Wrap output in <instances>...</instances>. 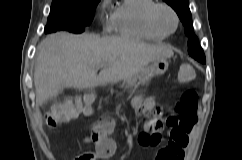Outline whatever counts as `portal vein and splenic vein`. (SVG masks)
Wrapping results in <instances>:
<instances>
[{"label": "portal vein and splenic vein", "instance_id": "1", "mask_svg": "<svg viewBox=\"0 0 242 160\" xmlns=\"http://www.w3.org/2000/svg\"><path fill=\"white\" fill-rule=\"evenodd\" d=\"M106 65L105 64H101V65H98L97 68L99 67H105Z\"/></svg>", "mask_w": 242, "mask_h": 160}]
</instances>
